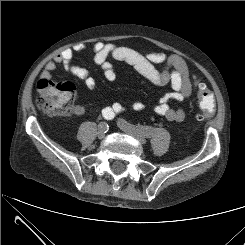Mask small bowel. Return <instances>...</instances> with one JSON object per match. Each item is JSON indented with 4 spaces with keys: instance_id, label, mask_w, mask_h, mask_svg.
<instances>
[{
    "instance_id": "obj_1",
    "label": "small bowel",
    "mask_w": 245,
    "mask_h": 245,
    "mask_svg": "<svg viewBox=\"0 0 245 245\" xmlns=\"http://www.w3.org/2000/svg\"><path fill=\"white\" fill-rule=\"evenodd\" d=\"M85 50L86 46L81 44L76 45L74 48L63 50L54 57L53 61L45 65L41 73V78L52 79V72L61 67L65 72L84 80V84L88 90H95L96 81L89 75L88 71L73 63L74 53H81ZM92 50L94 52V62L101 67L104 78L109 82H114L117 77L114 65L110 61V58H113L131 66L154 85L162 86L170 84L172 91L166 94L153 107V111L169 121L181 122L184 120V109L173 108L169 104L171 101L183 102L191 96L193 91L190 70L180 56H167L164 53L158 52L142 54L127 47L104 42L94 43ZM159 64L163 65L162 70L156 67ZM127 108L134 111H142L144 104L141 101H133L129 105L114 102L103 110L113 119L116 114L124 112ZM73 112L76 115H81L85 112V108L82 105H76L73 108Z\"/></svg>"
}]
</instances>
